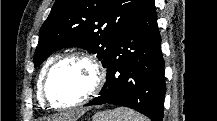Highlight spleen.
Returning a JSON list of instances; mask_svg holds the SVG:
<instances>
[{"label":"spleen","instance_id":"obj_1","mask_svg":"<svg viewBox=\"0 0 217 121\" xmlns=\"http://www.w3.org/2000/svg\"><path fill=\"white\" fill-rule=\"evenodd\" d=\"M93 121H146V119L131 109L118 107L111 111L98 113L93 117Z\"/></svg>","mask_w":217,"mask_h":121}]
</instances>
